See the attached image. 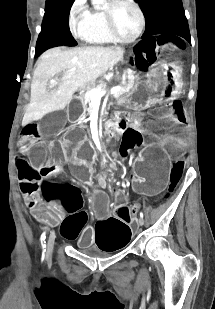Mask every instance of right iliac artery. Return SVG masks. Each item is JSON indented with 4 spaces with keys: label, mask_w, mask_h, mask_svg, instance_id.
<instances>
[{
    "label": "right iliac artery",
    "mask_w": 215,
    "mask_h": 309,
    "mask_svg": "<svg viewBox=\"0 0 215 309\" xmlns=\"http://www.w3.org/2000/svg\"><path fill=\"white\" fill-rule=\"evenodd\" d=\"M46 231H47V230H45V231L42 233L41 238H40L41 243H42V248H43L44 251H46V244H45V243H46V242H45Z\"/></svg>",
    "instance_id": "right-iliac-artery-1"
}]
</instances>
